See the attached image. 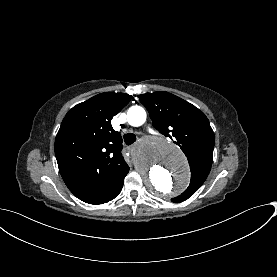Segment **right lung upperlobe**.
I'll use <instances>...</instances> for the list:
<instances>
[{"label": "right lung upper lobe", "mask_w": 277, "mask_h": 277, "mask_svg": "<svg viewBox=\"0 0 277 277\" xmlns=\"http://www.w3.org/2000/svg\"><path fill=\"white\" fill-rule=\"evenodd\" d=\"M125 93H101L65 115L55 139L61 176L80 200L90 202L110 191L128 168L122 138L111 119L131 100Z\"/></svg>", "instance_id": "1"}]
</instances>
